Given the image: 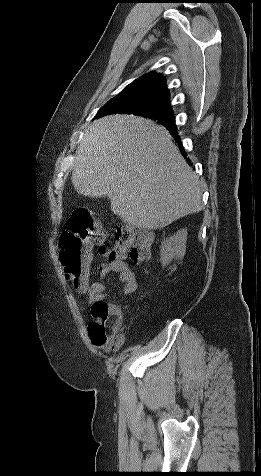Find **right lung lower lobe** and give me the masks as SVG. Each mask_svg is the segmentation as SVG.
Segmentation results:
<instances>
[{"label":"right lung lower lobe","instance_id":"98d812e1","mask_svg":"<svg viewBox=\"0 0 261 476\" xmlns=\"http://www.w3.org/2000/svg\"><path fill=\"white\" fill-rule=\"evenodd\" d=\"M168 130H170V132L172 133L173 136H176L177 135V132H176V127L174 126V123L172 124H163ZM178 137V136H177ZM179 148L181 150V152L183 153L184 157H186V153L184 152L182 146H181V143H179Z\"/></svg>","mask_w":261,"mask_h":476}]
</instances>
